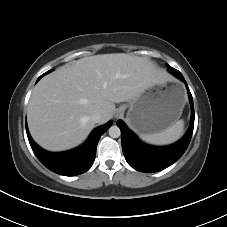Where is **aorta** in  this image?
<instances>
[{
    "label": "aorta",
    "instance_id": "762f6f07",
    "mask_svg": "<svg viewBox=\"0 0 227 227\" xmlns=\"http://www.w3.org/2000/svg\"><path fill=\"white\" fill-rule=\"evenodd\" d=\"M109 135L112 138H118L121 135L120 128L118 126H115V125L111 126L109 128Z\"/></svg>",
    "mask_w": 227,
    "mask_h": 227
}]
</instances>
